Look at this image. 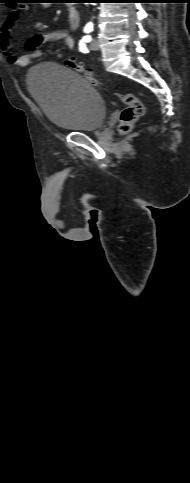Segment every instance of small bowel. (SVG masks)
<instances>
[{
  "instance_id": "small-bowel-1",
  "label": "small bowel",
  "mask_w": 190,
  "mask_h": 483,
  "mask_svg": "<svg viewBox=\"0 0 190 483\" xmlns=\"http://www.w3.org/2000/svg\"><path fill=\"white\" fill-rule=\"evenodd\" d=\"M27 9L28 7L25 4L15 7L0 28V49L10 63L18 67L27 66L32 59L39 57L40 47L46 43L63 41L69 49L74 47L75 41L69 31L58 29L30 37L25 43L27 53L21 56L15 55L11 47V34L19 17Z\"/></svg>"
}]
</instances>
